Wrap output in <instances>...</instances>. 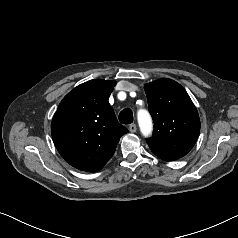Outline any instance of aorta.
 I'll use <instances>...</instances> for the list:
<instances>
[{"mask_svg": "<svg viewBox=\"0 0 238 238\" xmlns=\"http://www.w3.org/2000/svg\"><path fill=\"white\" fill-rule=\"evenodd\" d=\"M137 117L142 134L149 136L152 132V120L149 113L146 110H140Z\"/></svg>", "mask_w": 238, "mask_h": 238, "instance_id": "762f6f07", "label": "aorta"}]
</instances>
